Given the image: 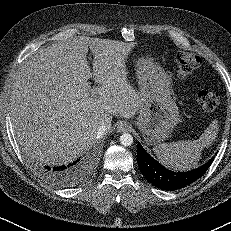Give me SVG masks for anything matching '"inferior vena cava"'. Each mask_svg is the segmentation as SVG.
Instances as JSON below:
<instances>
[{"instance_id":"1","label":"inferior vena cava","mask_w":231,"mask_h":231,"mask_svg":"<svg viewBox=\"0 0 231 231\" xmlns=\"http://www.w3.org/2000/svg\"><path fill=\"white\" fill-rule=\"evenodd\" d=\"M111 128L110 123H104L97 130V138L103 137Z\"/></svg>"}]
</instances>
